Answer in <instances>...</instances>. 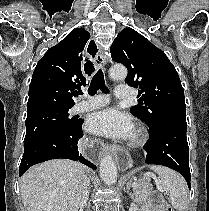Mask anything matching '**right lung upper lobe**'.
Here are the masks:
<instances>
[{
    "label": "right lung upper lobe",
    "instance_id": "cb5924a9",
    "mask_svg": "<svg viewBox=\"0 0 209 211\" xmlns=\"http://www.w3.org/2000/svg\"><path fill=\"white\" fill-rule=\"evenodd\" d=\"M89 38L85 29L75 28L39 60L29 86L27 112L74 106L75 90L85 85L95 69L85 58ZM89 53L94 57L96 51Z\"/></svg>",
    "mask_w": 209,
    "mask_h": 211
}]
</instances>
